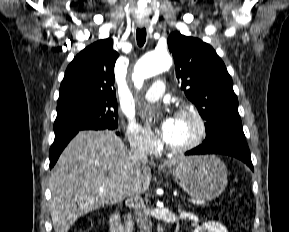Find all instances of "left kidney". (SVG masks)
I'll return each instance as SVG.
<instances>
[{"instance_id": "1", "label": "left kidney", "mask_w": 289, "mask_h": 232, "mask_svg": "<svg viewBox=\"0 0 289 232\" xmlns=\"http://www.w3.org/2000/svg\"><path fill=\"white\" fill-rule=\"evenodd\" d=\"M194 232H228L226 227L221 223L215 221H209L203 223L201 226H198Z\"/></svg>"}]
</instances>
